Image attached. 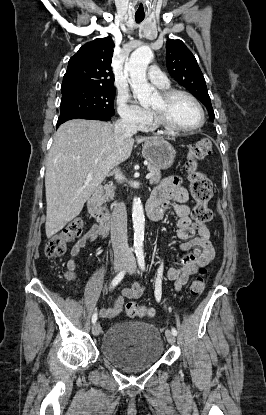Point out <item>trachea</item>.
Listing matches in <instances>:
<instances>
[{
    "label": "trachea",
    "mask_w": 266,
    "mask_h": 415,
    "mask_svg": "<svg viewBox=\"0 0 266 415\" xmlns=\"http://www.w3.org/2000/svg\"><path fill=\"white\" fill-rule=\"evenodd\" d=\"M135 20L137 23H140L144 20V16L142 15H135Z\"/></svg>",
    "instance_id": "3493384b"
}]
</instances>
